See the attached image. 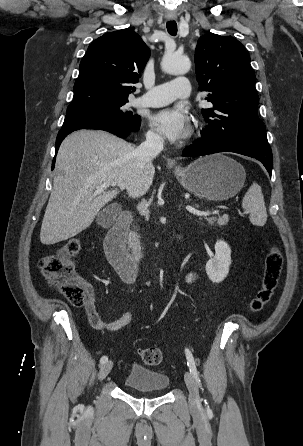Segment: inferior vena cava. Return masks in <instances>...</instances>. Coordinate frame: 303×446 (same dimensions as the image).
<instances>
[{
	"label": "inferior vena cava",
	"instance_id": "1",
	"mask_svg": "<svg viewBox=\"0 0 303 446\" xmlns=\"http://www.w3.org/2000/svg\"><path fill=\"white\" fill-rule=\"evenodd\" d=\"M162 149L163 139L159 135L148 133L146 135V141L134 151L139 168L142 169L147 163H151Z\"/></svg>",
	"mask_w": 303,
	"mask_h": 446
}]
</instances>
